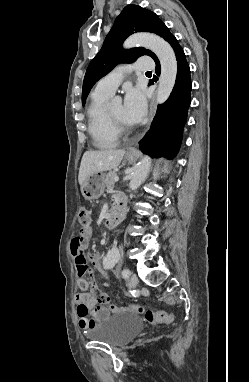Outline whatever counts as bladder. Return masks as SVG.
Returning <instances> with one entry per match:
<instances>
[{
	"label": "bladder",
	"instance_id": "obj_1",
	"mask_svg": "<svg viewBox=\"0 0 249 382\" xmlns=\"http://www.w3.org/2000/svg\"><path fill=\"white\" fill-rule=\"evenodd\" d=\"M144 328L143 319L136 313L113 314L88 330L87 337L118 347L136 337Z\"/></svg>",
	"mask_w": 249,
	"mask_h": 382
}]
</instances>
